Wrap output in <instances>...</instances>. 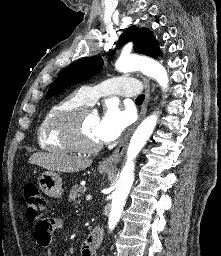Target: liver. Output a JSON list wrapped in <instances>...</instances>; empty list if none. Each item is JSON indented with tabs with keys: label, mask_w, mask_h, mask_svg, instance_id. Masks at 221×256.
<instances>
[{
	"label": "liver",
	"mask_w": 221,
	"mask_h": 256,
	"mask_svg": "<svg viewBox=\"0 0 221 256\" xmlns=\"http://www.w3.org/2000/svg\"><path fill=\"white\" fill-rule=\"evenodd\" d=\"M29 163L49 171L70 173L86 169L92 164V160L76 155L37 152L29 158Z\"/></svg>",
	"instance_id": "1"
}]
</instances>
